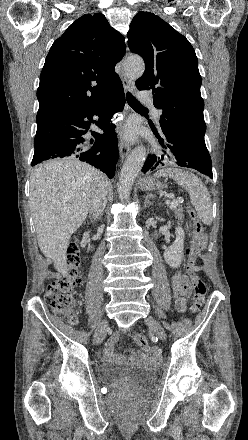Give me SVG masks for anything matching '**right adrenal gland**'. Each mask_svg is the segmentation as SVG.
<instances>
[{
    "label": "right adrenal gland",
    "mask_w": 248,
    "mask_h": 440,
    "mask_svg": "<svg viewBox=\"0 0 248 440\" xmlns=\"http://www.w3.org/2000/svg\"><path fill=\"white\" fill-rule=\"evenodd\" d=\"M89 219H90L91 223L95 222V220H96L95 218H93L91 216H89Z\"/></svg>",
    "instance_id": "obj_1"
}]
</instances>
